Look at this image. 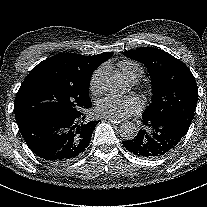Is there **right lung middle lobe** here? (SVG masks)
Instances as JSON below:
<instances>
[{
    "label": "right lung middle lobe",
    "mask_w": 207,
    "mask_h": 207,
    "mask_svg": "<svg viewBox=\"0 0 207 207\" xmlns=\"http://www.w3.org/2000/svg\"><path fill=\"white\" fill-rule=\"evenodd\" d=\"M88 93L89 84L44 74L26 77L14 102L16 122L79 116L92 106Z\"/></svg>",
    "instance_id": "1"
}]
</instances>
